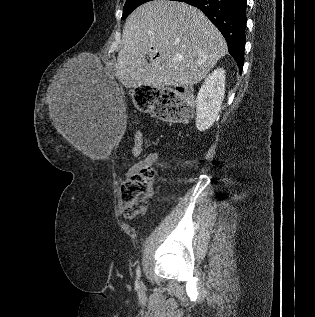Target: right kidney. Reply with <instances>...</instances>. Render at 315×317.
<instances>
[{
	"mask_svg": "<svg viewBox=\"0 0 315 317\" xmlns=\"http://www.w3.org/2000/svg\"><path fill=\"white\" fill-rule=\"evenodd\" d=\"M225 94V70L218 68L207 76L196 99V127L209 129L221 109Z\"/></svg>",
	"mask_w": 315,
	"mask_h": 317,
	"instance_id": "obj_1",
	"label": "right kidney"
}]
</instances>
